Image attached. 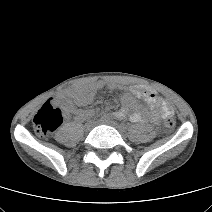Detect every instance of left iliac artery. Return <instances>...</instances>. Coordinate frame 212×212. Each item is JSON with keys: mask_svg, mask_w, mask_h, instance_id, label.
I'll return each mask as SVG.
<instances>
[{"mask_svg": "<svg viewBox=\"0 0 212 212\" xmlns=\"http://www.w3.org/2000/svg\"><path fill=\"white\" fill-rule=\"evenodd\" d=\"M120 127H121L123 130L127 129V125H126L125 123H121V124H120Z\"/></svg>", "mask_w": 212, "mask_h": 212, "instance_id": "44dca946", "label": "left iliac artery"}]
</instances>
